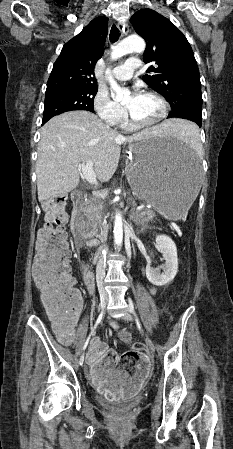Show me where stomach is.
Listing matches in <instances>:
<instances>
[{"instance_id":"obj_1","label":"stomach","mask_w":233,"mask_h":449,"mask_svg":"<svg viewBox=\"0 0 233 449\" xmlns=\"http://www.w3.org/2000/svg\"><path fill=\"white\" fill-rule=\"evenodd\" d=\"M126 176L133 194L169 220L181 219L198 201L200 161L188 146L151 136L130 146Z\"/></svg>"}]
</instances>
